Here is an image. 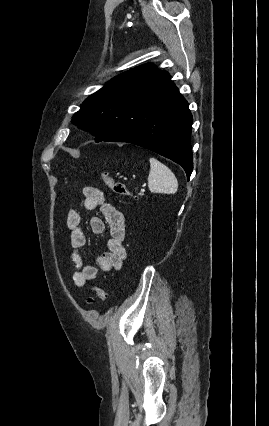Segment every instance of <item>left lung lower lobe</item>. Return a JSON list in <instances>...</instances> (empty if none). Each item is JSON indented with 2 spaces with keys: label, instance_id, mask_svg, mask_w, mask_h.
Wrapping results in <instances>:
<instances>
[{
  "label": "left lung lower lobe",
  "instance_id": "obj_1",
  "mask_svg": "<svg viewBox=\"0 0 269 426\" xmlns=\"http://www.w3.org/2000/svg\"><path fill=\"white\" fill-rule=\"evenodd\" d=\"M191 125L187 101L169 73L162 71L132 96L113 133L103 141L128 142L152 150L181 165L189 180L193 170Z\"/></svg>",
  "mask_w": 269,
  "mask_h": 426
}]
</instances>
